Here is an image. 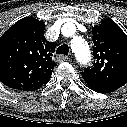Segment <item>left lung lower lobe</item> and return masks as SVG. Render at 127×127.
Segmentation results:
<instances>
[{
	"instance_id": "0a47b994",
	"label": "left lung lower lobe",
	"mask_w": 127,
	"mask_h": 127,
	"mask_svg": "<svg viewBox=\"0 0 127 127\" xmlns=\"http://www.w3.org/2000/svg\"><path fill=\"white\" fill-rule=\"evenodd\" d=\"M86 83L92 90L98 93H110L118 89L110 84L98 82V81H91Z\"/></svg>"
}]
</instances>
